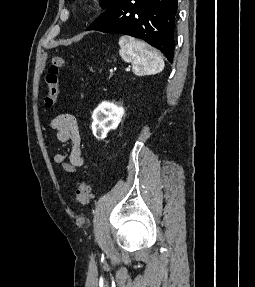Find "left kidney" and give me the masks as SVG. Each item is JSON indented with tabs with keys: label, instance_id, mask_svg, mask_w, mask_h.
<instances>
[{
	"label": "left kidney",
	"instance_id": "5707ae66",
	"mask_svg": "<svg viewBox=\"0 0 255 287\" xmlns=\"http://www.w3.org/2000/svg\"><path fill=\"white\" fill-rule=\"evenodd\" d=\"M124 108L113 102H102L92 114V132L95 138H106L109 130H115L121 122Z\"/></svg>",
	"mask_w": 255,
	"mask_h": 287
}]
</instances>
